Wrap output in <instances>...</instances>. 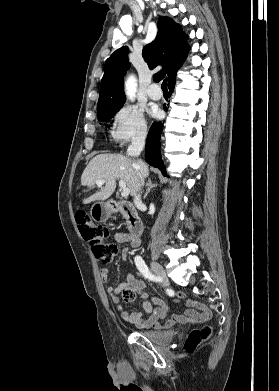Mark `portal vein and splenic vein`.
<instances>
[{
    "label": "portal vein and splenic vein",
    "mask_w": 279,
    "mask_h": 391,
    "mask_svg": "<svg viewBox=\"0 0 279 391\" xmlns=\"http://www.w3.org/2000/svg\"><path fill=\"white\" fill-rule=\"evenodd\" d=\"M104 183H105V179L96 181V184L98 186H102ZM119 186H120V190H121V196L127 197L130 193V190H129V188L126 187V184L123 180L119 181Z\"/></svg>",
    "instance_id": "portal-vein-and-splenic-vein-1"
}]
</instances>
